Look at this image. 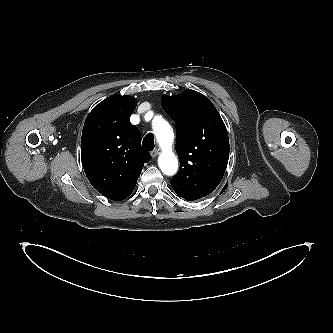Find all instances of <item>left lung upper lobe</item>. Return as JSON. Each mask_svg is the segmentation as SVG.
<instances>
[{"instance_id": "1", "label": "left lung upper lobe", "mask_w": 333, "mask_h": 333, "mask_svg": "<svg viewBox=\"0 0 333 333\" xmlns=\"http://www.w3.org/2000/svg\"><path fill=\"white\" fill-rule=\"evenodd\" d=\"M163 109L176 123L179 172L171 180L176 194L194 201L210 194L228 164L229 138L212 102L194 90L162 97Z\"/></svg>"}]
</instances>
